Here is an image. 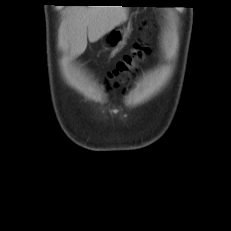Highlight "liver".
Here are the masks:
<instances>
[{"instance_id": "obj_1", "label": "liver", "mask_w": 231, "mask_h": 231, "mask_svg": "<svg viewBox=\"0 0 231 231\" xmlns=\"http://www.w3.org/2000/svg\"><path fill=\"white\" fill-rule=\"evenodd\" d=\"M128 18V10L121 6H71L64 11L60 31V47L71 56L81 55L87 38L96 42Z\"/></svg>"}]
</instances>
